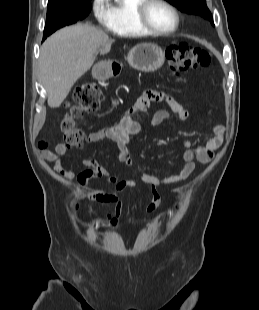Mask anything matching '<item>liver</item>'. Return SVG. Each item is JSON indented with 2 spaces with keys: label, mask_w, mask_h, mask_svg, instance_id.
I'll return each instance as SVG.
<instances>
[{
  "label": "liver",
  "mask_w": 259,
  "mask_h": 310,
  "mask_svg": "<svg viewBox=\"0 0 259 310\" xmlns=\"http://www.w3.org/2000/svg\"><path fill=\"white\" fill-rule=\"evenodd\" d=\"M113 42L102 30L86 24L65 27L46 39L39 69L49 107L62 104L74 83L93 65L98 49L108 53Z\"/></svg>",
  "instance_id": "6515ba94"
}]
</instances>
